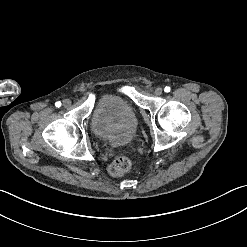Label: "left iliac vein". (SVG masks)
<instances>
[{
  "label": "left iliac vein",
  "instance_id": "obj_1",
  "mask_svg": "<svg viewBox=\"0 0 247 247\" xmlns=\"http://www.w3.org/2000/svg\"><path fill=\"white\" fill-rule=\"evenodd\" d=\"M162 92H163V90L160 87H157L155 89V91H154V93H155L156 96H160L162 94Z\"/></svg>",
  "mask_w": 247,
  "mask_h": 247
}]
</instances>
